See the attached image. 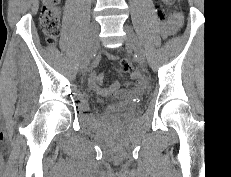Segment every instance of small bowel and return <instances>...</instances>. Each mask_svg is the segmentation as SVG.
Listing matches in <instances>:
<instances>
[{
	"instance_id": "c3829d8e",
	"label": "small bowel",
	"mask_w": 231,
	"mask_h": 177,
	"mask_svg": "<svg viewBox=\"0 0 231 177\" xmlns=\"http://www.w3.org/2000/svg\"><path fill=\"white\" fill-rule=\"evenodd\" d=\"M176 24L177 21L175 19L168 21L166 24L162 26L163 33L166 35L171 33L174 27L176 26ZM108 58L112 60L116 59V57L113 55H109ZM133 76L135 78L138 77L137 73H134ZM103 82H104V74L102 72L99 71L92 72V74L89 77V85L91 89L94 90L96 93L101 95H108L117 91L121 87V83L119 81H115L109 86H104ZM143 89L144 86L142 84H138V86L135 88V91L141 92Z\"/></svg>"
}]
</instances>
